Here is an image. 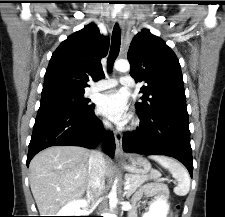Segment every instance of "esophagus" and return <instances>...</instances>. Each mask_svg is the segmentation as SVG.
<instances>
[{
	"mask_svg": "<svg viewBox=\"0 0 225 217\" xmlns=\"http://www.w3.org/2000/svg\"><path fill=\"white\" fill-rule=\"evenodd\" d=\"M116 21L118 22L121 31L124 29V21L122 15H118ZM115 136V143H116V150L115 154L116 156L122 155V133L120 131H115L114 132Z\"/></svg>",
	"mask_w": 225,
	"mask_h": 217,
	"instance_id": "esophagus-1",
	"label": "esophagus"
}]
</instances>
